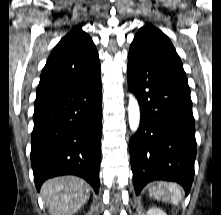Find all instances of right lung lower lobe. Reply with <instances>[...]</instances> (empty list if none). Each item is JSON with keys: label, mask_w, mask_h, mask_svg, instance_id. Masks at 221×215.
<instances>
[{"label": "right lung lower lobe", "mask_w": 221, "mask_h": 215, "mask_svg": "<svg viewBox=\"0 0 221 215\" xmlns=\"http://www.w3.org/2000/svg\"><path fill=\"white\" fill-rule=\"evenodd\" d=\"M102 103L100 72L35 102L31 164L37 190L59 175H77L99 190Z\"/></svg>", "instance_id": "1"}]
</instances>
